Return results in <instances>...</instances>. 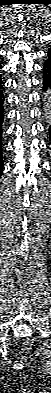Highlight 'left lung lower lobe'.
<instances>
[{
  "label": "left lung lower lobe",
  "instance_id": "left-lung-lower-lobe-1",
  "mask_svg": "<svg viewBox=\"0 0 51 393\" xmlns=\"http://www.w3.org/2000/svg\"><path fill=\"white\" fill-rule=\"evenodd\" d=\"M43 68H44V77H43L44 90L51 93V51H48V58L44 62ZM49 132H50V140H51V126Z\"/></svg>",
  "mask_w": 51,
  "mask_h": 393
}]
</instances>
